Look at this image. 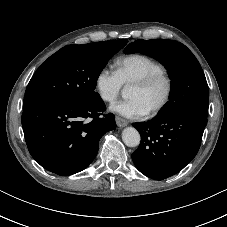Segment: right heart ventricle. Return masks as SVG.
<instances>
[{"label":"right heart ventricle","mask_w":227,"mask_h":227,"mask_svg":"<svg viewBox=\"0 0 227 227\" xmlns=\"http://www.w3.org/2000/svg\"><path fill=\"white\" fill-rule=\"evenodd\" d=\"M162 71V64L140 54L124 56L115 62V72L123 85H130L140 78Z\"/></svg>","instance_id":"obj_1"}]
</instances>
